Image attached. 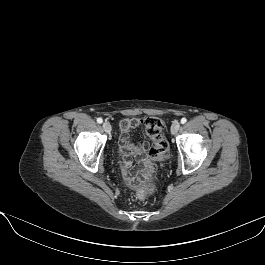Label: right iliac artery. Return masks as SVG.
<instances>
[{"label": "right iliac artery", "instance_id": "obj_1", "mask_svg": "<svg viewBox=\"0 0 265 265\" xmlns=\"http://www.w3.org/2000/svg\"><path fill=\"white\" fill-rule=\"evenodd\" d=\"M97 122H98L99 124H101V123L103 122L102 118H98V119H97Z\"/></svg>", "mask_w": 265, "mask_h": 265}]
</instances>
